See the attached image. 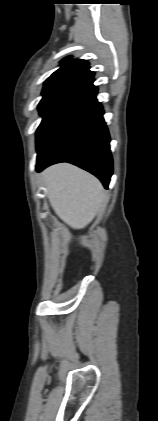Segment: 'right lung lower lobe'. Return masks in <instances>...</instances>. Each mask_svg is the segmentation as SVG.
<instances>
[{"label": "right lung lower lobe", "instance_id": "obj_1", "mask_svg": "<svg viewBox=\"0 0 158 421\" xmlns=\"http://www.w3.org/2000/svg\"><path fill=\"white\" fill-rule=\"evenodd\" d=\"M93 81L83 85L61 109L37 149L36 170L69 162L94 174L108 188L113 172L110 137Z\"/></svg>", "mask_w": 158, "mask_h": 421}]
</instances>
